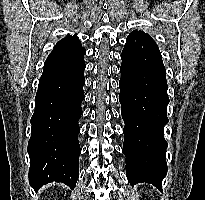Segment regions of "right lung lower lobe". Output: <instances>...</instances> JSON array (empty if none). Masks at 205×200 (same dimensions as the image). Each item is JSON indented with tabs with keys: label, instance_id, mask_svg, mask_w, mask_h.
<instances>
[{
	"label": "right lung lower lobe",
	"instance_id": "98d812e1",
	"mask_svg": "<svg viewBox=\"0 0 205 200\" xmlns=\"http://www.w3.org/2000/svg\"><path fill=\"white\" fill-rule=\"evenodd\" d=\"M85 53L83 47L53 50L44 63L28 142L29 182L35 190L53 181L76 186Z\"/></svg>",
	"mask_w": 205,
	"mask_h": 200
}]
</instances>
